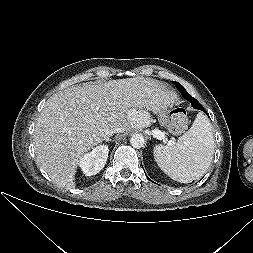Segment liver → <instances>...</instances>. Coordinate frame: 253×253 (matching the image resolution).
<instances>
[{
	"label": "liver",
	"mask_w": 253,
	"mask_h": 253,
	"mask_svg": "<svg viewBox=\"0 0 253 253\" xmlns=\"http://www.w3.org/2000/svg\"><path fill=\"white\" fill-rule=\"evenodd\" d=\"M176 98L158 81L143 77L68 87L47 100L37 119L36 160L59 187L75 188L80 159L107 130L146 127L148 111L157 113Z\"/></svg>",
	"instance_id": "obj_1"
}]
</instances>
